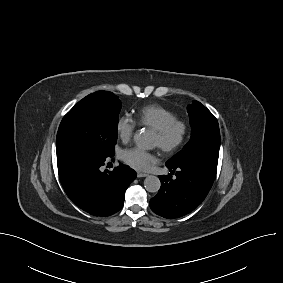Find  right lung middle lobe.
Listing matches in <instances>:
<instances>
[{"label":"right lung middle lobe","instance_id":"1","mask_svg":"<svg viewBox=\"0 0 283 283\" xmlns=\"http://www.w3.org/2000/svg\"><path fill=\"white\" fill-rule=\"evenodd\" d=\"M121 102L98 91L79 101L62 119L56 138L57 158L71 151L113 156Z\"/></svg>","mask_w":283,"mask_h":283}]
</instances>
